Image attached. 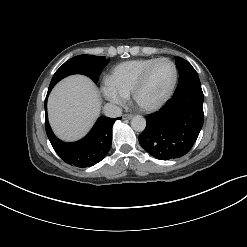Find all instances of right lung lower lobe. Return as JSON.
Instances as JSON below:
<instances>
[{
    "label": "right lung lower lobe",
    "instance_id": "obj_1",
    "mask_svg": "<svg viewBox=\"0 0 247 247\" xmlns=\"http://www.w3.org/2000/svg\"><path fill=\"white\" fill-rule=\"evenodd\" d=\"M53 87H49L45 99V129L47 136L63 161L77 167H90L100 162L108 153L112 143V126L119 118L100 117L91 131L81 140L65 143L52 132L47 118V98Z\"/></svg>",
    "mask_w": 247,
    "mask_h": 247
}]
</instances>
